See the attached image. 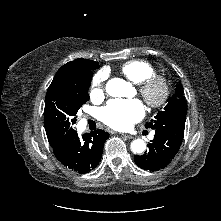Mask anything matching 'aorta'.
<instances>
[{"mask_svg": "<svg viewBox=\"0 0 221 221\" xmlns=\"http://www.w3.org/2000/svg\"><path fill=\"white\" fill-rule=\"evenodd\" d=\"M129 83L120 78H113L106 84V92L112 97H125ZM146 149V143L142 139H136L131 143V150L135 154L143 153Z\"/></svg>", "mask_w": 221, "mask_h": 221, "instance_id": "762f6f07", "label": "aorta"}]
</instances>
